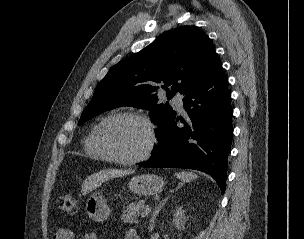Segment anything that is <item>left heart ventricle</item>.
<instances>
[{"label":"left heart ventricle","mask_w":304,"mask_h":239,"mask_svg":"<svg viewBox=\"0 0 304 239\" xmlns=\"http://www.w3.org/2000/svg\"><path fill=\"white\" fill-rule=\"evenodd\" d=\"M103 138L115 154L123 158H131L144 151L149 142V132L141 121L122 118L105 128Z\"/></svg>","instance_id":"1"}]
</instances>
